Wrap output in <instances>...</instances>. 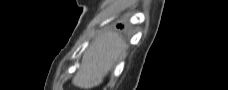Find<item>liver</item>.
<instances>
[{
    "label": "liver",
    "instance_id": "obj_1",
    "mask_svg": "<svg viewBox=\"0 0 228 90\" xmlns=\"http://www.w3.org/2000/svg\"><path fill=\"white\" fill-rule=\"evenodd\" d=\"M125 48V42L116 32L101 34L83 55L82 66L72 83L83 90L98 86L118 58L124 55Z\"/></svg>",
    "mask_w": 228,
    "mask_h": 90
}]
</instances>
